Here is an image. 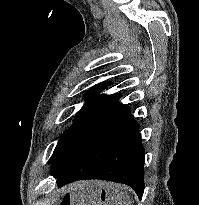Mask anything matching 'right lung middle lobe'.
<instances>
[{"mask_svg":"<svg viewBox=\"0 0 199 205\" xmlns=\"http://www.w3.org/2000/svg\"><path fill=\"white\" fill-rule=\"evenodd\" d=\"M124 122L96 112L79 111L73 126L60 137L54 150L51 174H59L75 159L102 143Z\"/></svg>","mask_w":199,"mask_h":205,"instance_id":"dd1d6c3e","label":"right lung middle lobe"}]
</instances>
